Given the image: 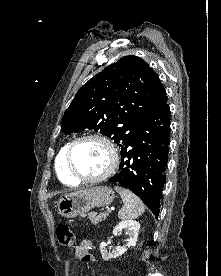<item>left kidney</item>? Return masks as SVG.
Instances as JSON below:
<instances>
[{"mask_svg":"<svg viewBox=\"0 0 221 276\" xmlns=\"http://www.w3.org/2000/svg\"><path fill=\"white\" fill-rule=\"evenodd\" d=\"M139 229H140V224L135 220L121 221L114 228L113 234H117V233L122 232V230H125L126 234L128 235L126 245H124L122 247L118 246L112 252H108L106 249V243L102 242L100 244V252H101L102 258L106 261L111 258H117V257L121 256L122 254H124L129 247L135 246L137 237H138V233H139Z\"/></svg>","mask_w":221,"mask_h":276,"instance_id":"left-kidney-1","label":"left kidney"}]
</instances>
